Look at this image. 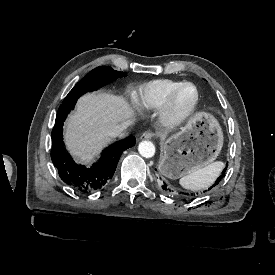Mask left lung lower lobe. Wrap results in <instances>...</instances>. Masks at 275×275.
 <instances>
[{
    "label": "left lung lower lobe",
    "instance_id": "0a47b994",
    "mask_svg": "<svg viewBox=\"0 0 275 275\" xmlns=\"http://www.w3.org/2000/svg\"><path fill=\"white\" fill-rule=\"evenodd\" d=\"M226 168L222 171V174L217 178V180L215 181V183L210 188H208V190H211L212 188H214L222 180V178L225 176ZM161 187L165 191H170V189L168 188V185L165 182H163L161 184ZM205 191H207V190H205Z\"/></svg>",
    "mask_w": 275,
    "mask_h": 275
}]
</instances>
